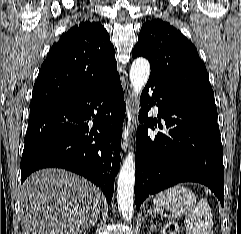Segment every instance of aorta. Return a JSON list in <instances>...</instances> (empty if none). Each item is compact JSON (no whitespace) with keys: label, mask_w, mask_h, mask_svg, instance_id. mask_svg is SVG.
<instances>
[{"label":"aorta","mask_w":241,"mask_h":234,"mask_svg":"<svg viewBox=\"0 0 241 234\" xmlns=\"http://www.w3.org/2000/svg\"><path fill=\"white\" fill-rule=\"evenodd\" d=\"M150 75V64L145 58H137L133 61L130 69V82L133 94L136 97L141 94ZM134 183H135V160L134 153L128 152L119 171L117 181V203L125 220H131L134 212Z\"/></svg>","instance_id":"obj_1"}]
</instances>
